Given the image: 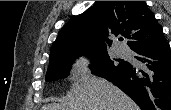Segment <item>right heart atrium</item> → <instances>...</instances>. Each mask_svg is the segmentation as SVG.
<instances>
[{
    "instance_id": "obj_1",
    "label": "right heart atrium",
    "mask_w": 171,
    "mask_h": 110,
    "mask_svg": "<svg viewBox=\"0 0 171 110\" xmlns=\"http://www.w3.org/2000/svg\"><path fill=\"white\" fill-rule=\"evenodd\" d=\"M96 73V63L93 58L89 56L77 57L72 66V79L75 82H87Z\"/></svg>"
}]
</instances>
